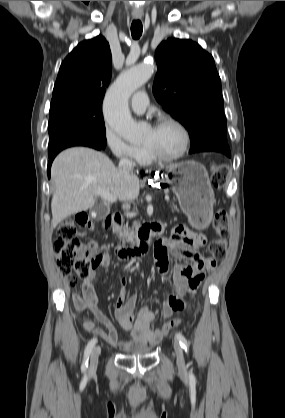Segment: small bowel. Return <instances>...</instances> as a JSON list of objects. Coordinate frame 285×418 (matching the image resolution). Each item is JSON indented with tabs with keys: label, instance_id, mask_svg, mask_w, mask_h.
Listing matches in <instances>:
<instances>
[{
	"label": "small bowel",
	"instance_id": "c3829d8e",
	"mask_svg": "<svg viewBox=\"0 0 285 418\" xmlns=\"http://www.w3.org/2000/svg\"><path fill=\"white\" fill-rule=\"evenodd\" d=\"M156 231L160 233L161 228L157 226ZM205 241V237L187 230L182 233H174L168 239H162L163 244L173 256L180 259H189L195 263L194 265L179 264L174 266V289L162 304L161 316L163 318H169L175 311L184 308V301L182 300L184 294L189 292L191 295H195L202 284L206 271L208 270L206 265L211 260L203 259L193 247L202 245ZM110 264L111 256L107 253L84 280L82 291L72 295V301L76 311L78 313L90 312L103 326V328L96 327L92 320L87 319L83 324L85 330L124 351L158 344L165 335L159 334L157 329L152 328L154 313L147 306L140 308L135 313L137 298L135 295L129 294L127 282L124 277L120 279L119 297L114 306V314L118 318L122 328L131 332V339L120 340L115 324L99 308V300L93 282L98 271L108 267ZM155 264L161 275H166L169 272L170 265L168 258L162 262L155 260Z\"/></svg>",
	"mask_w": 285,
	"mask_h": 418
}]
</instances>
